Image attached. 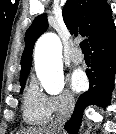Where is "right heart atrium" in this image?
I'll return each instance as SVG.
<instances>
[{"label": "right heart atrium", "mask_w": 116, "mask_h": 134, "mask_svg": "<svg viewBox=\"0 0 116 134\" xmlns=\"http://www.w3.org/2000/svg\"><path fill=\"white\" fill-rule=\"evenodd\" d=\"M47 102L51 115L70 113L75 106V99L73 95L67 91L48 97Z\"/></svg>", "instance_id": "d8ad5b80"}]
</instances>
